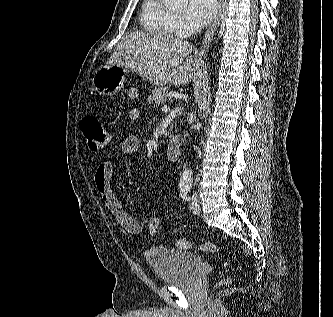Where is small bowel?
Instances as JSON below:
<instances>
[{
	"mask_svg": "<svg viewBox=\"0 0 333 317\" xmlns=\"http://www.w3.org/2000/svg\"><path fill=\"white\" fill-rule=\"evenodd\" d=\"M139 116L140 110L138 107H134L130 110V128L124 135L120 148L121 153L125 156L133 155L139 150V139L132 133V127ZM113 169V159H105L98 164L94 174L96 189L115 221L127 232L131 234H139L142 232L149 219L145 217L138 220L124 210L111 186Z\"/></svg>",
	"mask_w": 333,
	"mask_h": 317,
	"instance_id": "c3829d8e",
	"label": "small bowel"
}]
</instances>
